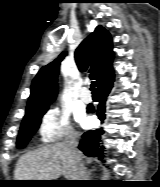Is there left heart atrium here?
<instances>
[{
	"label": "left heart atrium",
	"instance_id": "1",
	"mask_svg": "<svg viewBox=\"0 0 160 187\" xmlns=\"http://www.w3.org/2000/svg\"><path fill=\"white\" fill-rule=\"evenodd\" d=\"M82 121H83V123L85 124V125H88L89 124V121L88 120H86V119H82Z\"/></svg>",
	"mask_w": 160,
	"mask_h": 187
}]
</instances>
